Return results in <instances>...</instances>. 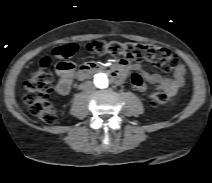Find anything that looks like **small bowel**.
Segmentation results:
<instances>
[{"mask_svg": "<svg viewBox=\"0 0 212 183\" xmlns=\"http://www.w3.org/2000/svg\"><path fill=\"white\" fill-rule=\"evenodd\" d=\"M118 69L122 71L123 75L129 71H134L131 76V83L138 91L146 90L144 81H147L155 85L157 90L165 92L170 99H173L184 85L185 68L183 65H178L172 78L165 77L159 73H149L143 69L140 62L131 63L123 60L118 64ZM56 73L58 76L56 91L58 94L66 96L72 89L74 81L73 71H63L57 66Z\"/></svg>", "mask_w": 212, "mask_h": 183, "instance_id": "obj_1", "label": "small bowel"}]
</instances>
